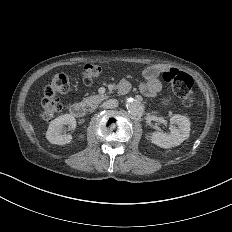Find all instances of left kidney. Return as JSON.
<instances>
[{
	"label": "left kidney",
	"instance_id": "left-kidney-1",
	"mask_svg": "<svg viewBox=\"0 0 232 232\" xmlns=\"http://www.w3.org/2000/svg\"><path fill=\"white\" fill-rule=\"evenodd\" d=\"M170 123L178 127H172L169 134L153 132L151 142L161 148H171L180 145L189 137L190 120L182 115L176 114L170 118Z\"/></svg>",
	"mask_w": 232,
	"mask_h": 232
}]
</instances>
